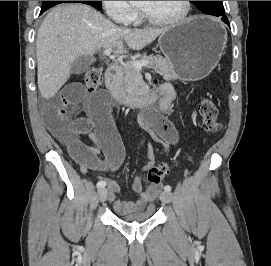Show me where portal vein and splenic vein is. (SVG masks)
<instances>
[{
  "label": "portal vein and splenic vein",
  "mask_w": 271,
  "mask_h": 266,
  "mask_svg": "<svg viewBox=\"0 0 271 266\" xmlns=\"http://www.w3.org/2000/svg\"><path fill=\"white\" fill-rule=\"evenodd\" d=\"M111 52H112V50L110 48L104 50V54L109 57L111 56ZM129 63L130 62H128L127 64H129ZM131 64L133 67H135L136 69H138L140 71L142 69V67H146L150 63H149V61H140V62H133Z\"/></svg>",
  "instance_id": "1"
}]
</instances>
